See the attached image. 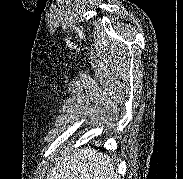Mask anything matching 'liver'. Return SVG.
<instances>
[{
  "label": "liver",
  "instance_id": "6515ba94",
  "mask_svg": "<svg viewBox=\"0 0 183 179\" xmlns=\"http://www.w3.org/2000/svg\"><path fill=\"white\" fill-rule=\"evenodd\" d=\"M47 179H118L110 157L91 148L67 150Z\"/></svg>",
  "mask_w": 183,
  "mask_h": 179
}]
</instances>
